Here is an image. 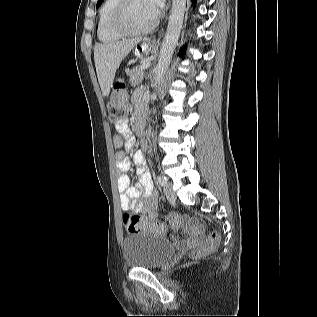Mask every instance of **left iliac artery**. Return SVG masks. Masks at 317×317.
<instances>
[{"instance_id":"1","label":"left iliac artery","mask_w":317,"mask_h":317,"mask_svg":"<svg viewBox=\"0 0 317 317\" xmlns=\"http://www.w3.org/2000/svg\"><path fill=\"white\" fill-rule=\"evenodd\" d=\"M157 182L161 185V186H165L166 185V183H167V180H166V178L165 177H163V176H157Z\"/></svg>"}]
</instances>
